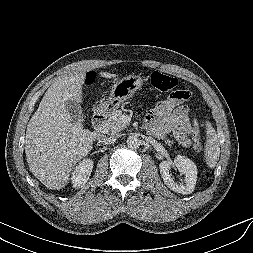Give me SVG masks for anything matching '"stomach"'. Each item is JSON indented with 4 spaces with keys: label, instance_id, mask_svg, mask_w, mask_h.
Instances as JSON below:
<instances>
[{
    "label": "stomach",
    "instance_id": "0dacf381",
    "mask_svg": "<svg viewBox=\"0 0 253 253\" xmlns=\"http://www.w3.org/2000/svg\"><path fill=\"white\" fill-rule=\"evenodd\" d=\"M142 85L143 81L138 75L123 77L112 86L110 97L97 106V112L110 115L124 101L130 99Z\"/></svg>",
    "mask_w": 253,
    "mask_h": 253
}]
</instances>
